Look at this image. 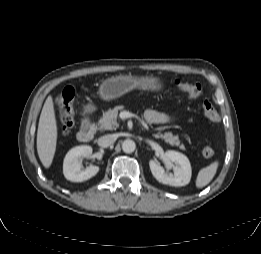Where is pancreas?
<instances>
[{"label":"pancreas","instance_id":"cf45deb5","mask_svg":"<svg viewBox=\"0 0 261 254\" xmlns=\"http://www.w3.org/2000/svg\"><path fill=\"white\" fill-rule=\"evenodd\" d=\"M123 109L124 106L120 105L106 111L98 122V129H116L119 126V124L117 123L118 112ZM155 130L159 132H157L156 134H152L153 137L163 139L166 143H169L172 146H178L181 150L186 149L185 146L180 142L178 136H174L171 132H166L162 134L159 128H156Z\"/></svg>","mask_w":261,"mask_h":254}]
</instances>
